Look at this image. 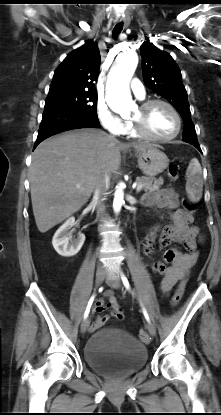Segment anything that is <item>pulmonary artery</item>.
I'll return each instance as SVG.
<instances>
[{
  "label": "pulmonary artery",
  "mask_w": 221,
  "mask_h": 415,
  "mask_svg": "<svg viewBox=\"0 0 221 415\" xmlns=\"http://www.w3.org/2000/svg\"><path fill=\"white\" fill-rule=\"evenodd\" d=\"M131 88L137 98L143 99L145 97V88L143 84L140 82V80L134 78L131 81Z\"/></svg>",
  "instance_id": "e3ab8cb5"
}]
</instances>
